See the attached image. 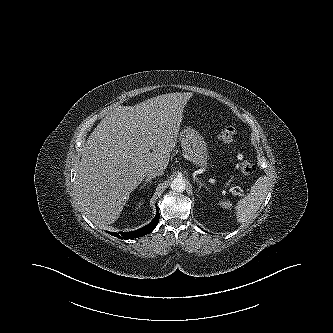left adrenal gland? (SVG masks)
Segmentation results:
<instances>
[{
	"label": "left adrenal gland",
	"mask_w": 333,
	"mask_h": 333,
	"mask_svg": "<svg viewBox=\"0 0 333 333\" xmlns=\"http://www.w3.org/2000/svg\"><path fill=\"white\" fill-rule=\"evenodd\" d=\"M196 182L199 184L198 190H200L201 187H205L208 190V187L205 185V183L201 182V180L196 179Z\"/></svg>",
	"instance_id": "left-adrenal-gland-1"
}]
</instances>
